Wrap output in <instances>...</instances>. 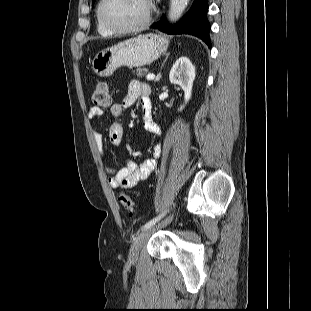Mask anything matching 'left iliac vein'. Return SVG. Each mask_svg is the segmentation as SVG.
<instances>
[{
    "label": "left iliac vein",
    "mask_w": 311,
    "mask_h": 311,
    "mask_svg": "<svg viewBox=\"0 0 311 311\" xmlns=\"http://www.w3.org/2000/svg\"><path fill=\"white\" fill-rule=\"evenodd\" d=\"M173 217H174V213L169 215L166 219H164L163 221H161L157 225L151 226L150 228L144 230L137 237V239L131 245L130 252H129V260L131 262L137 261V259L139 257V253H140L142 247L145 245V243L147 242V240L151 236V234L153 232H155V230L160 229V228H164L168 224H170V222L172 221Z\"/></svg>",
    "instance_id": "left-iliac-vein-1"
}]
</instances>
